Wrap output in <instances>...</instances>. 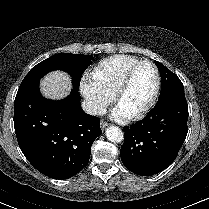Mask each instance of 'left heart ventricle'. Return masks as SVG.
<instances>
[{"instance_id": "1", "label": "left heart ventricle", "mask_w": 209, "mask_h": 209, "mask_svg": "<svg viewBox=\"0 0 209 209\" xmlns=\"http://www.w3.org/2000/svg\"><path fill=\"white\" fill-rule=\"evenodd\" d=\"M155 86V74L149 64L140 65L120 98L119 106L133 114L149 101Z\"/></svg>"}]
</instances>
